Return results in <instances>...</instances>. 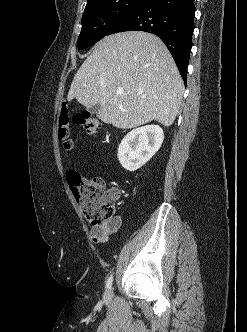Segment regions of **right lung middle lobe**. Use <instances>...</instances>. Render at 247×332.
Segmentation results:
<instances>
[{
  "label": "right lung middle lobe",
  "mask_w": 247,
  "mask_h": 332,
  "mask_svg": "<svg viewBox=\"0 0 247 332\" xmlns=\"http://www.w3.org/2000/svg\"><path fill=\"white\" fill-rule=\"evenodd\" d=\"M147 0H99L84 10L78 49H85L107 35L110 28L123 16Z\"/></svg>",
  "instance_id": "dd1d6c3e"
}]
</instances>
